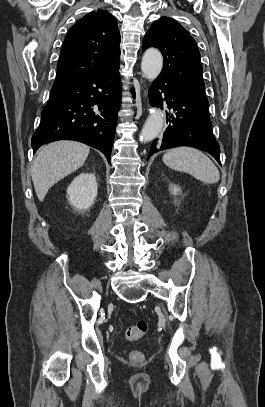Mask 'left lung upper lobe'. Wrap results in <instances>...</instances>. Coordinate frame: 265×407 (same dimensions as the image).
Returning a JSON list of instances; mask_svg holds the SVG:
<instances>
[{"label":"left lung upper lobe","mask_w":265,"mask_h":407,"mask_svg":"<svg viewBox=\"0 0 265 407\" xmlns=\"http://www.w3.org/2000/svg\"><path fill=\"white\" fill-rule=\"evenodd\" d=\"M156 47L164 57L160 75L197 102L209 106L202 78L200 52L193 37L178 22L161 17L146 33L142 48Z\"/></svg>","instance_id":"obj_1"}]
</instances>
